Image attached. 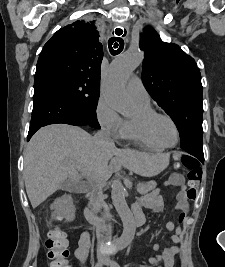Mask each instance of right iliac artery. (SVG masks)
<instances>
[{
	"instance_id": "obj_1",
	"label": "right iliac artery",
	"mask_w": 225,
	"mask_h": 267,
	"mask_svg": "<svg viewBox=\"0 0 225 267\" xmlns=\"http://www.w3.org/2000/svg\"><path fill=\"white\" fill-rule=\"evenodd\" d=\"M95 267H102V264L101 263L100 264H96Z\"/></svg>"
}]
</instances>
